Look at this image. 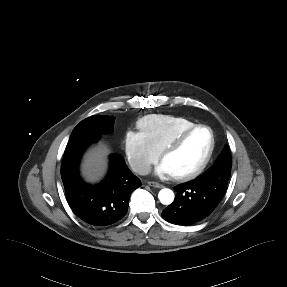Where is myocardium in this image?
Returning a JSON list of instances; mask_svg holds the SVG:
<instances>
[{
  "mask_svg": "<svg viewBox=\"0 0 287 287\" xmlns=\"http://www.w3.org/2000/svg\"><path fill=\"white\" fill-rule=\"evenodd\" d=\"M201 128L208 130V132L210 133V137H211L210 147H209V150H208L205 158L198 165V167L196 169H194L193 171L186 173V174H181V175H171V178L173 180H175V181L192 180V179L196 178L197 176H199L206 169L208 164L210 163V161L213 157V154H214L216 141H215V134H214L212 128L208 125H205V124H196V125L188 128V129L180 132L161 151L160 159L162 161L167 155L176 151L183 144V142L188 138L189 135H191L194 131L201 129Z\"/></svg>",
  "mask_w": 287,
  "mask_h": 287,
  "instance_id": "f54148a6",
  "label": "myocardium"
}]
</instances>
